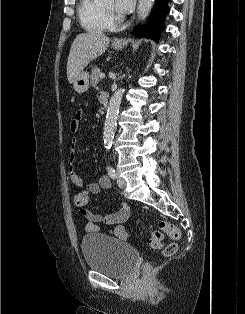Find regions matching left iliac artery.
Here are the masks:
<instances>
[{
    "label": "left iliac artery",
    "instance_id": "1",
    "mask_svg": "<svg viewBox=\"0 0 245 314\" xmlns=\"http://www.w3.org/2000/svg\"><path fill=\"white\" fill-rule=\"evenodd\" d=\"M107 171H108V175L112 178L115 179L117 178L116 172L114 170V168L112 166H107Z\"/></svg>",
    "mask_w": 245,
    "mask_h": 314
}]
</instances>
